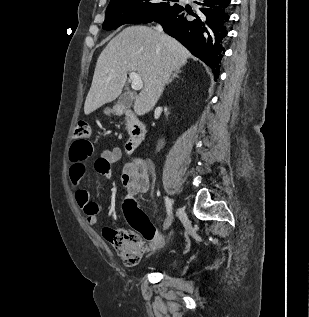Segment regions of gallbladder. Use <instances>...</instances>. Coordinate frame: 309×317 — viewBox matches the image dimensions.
Wrapping results in <instances>:
<instances>
[{"mask_svg":"<svg viewBox=\"0 0 309 317\" xmlns=\"http://www.w3.org/2000/svg\"><path fill=\"white\" fill-rule=\"evenodd\" d=\"M132 101H133V98L130 96V94L124 93L119 97L117 103L124 109H127L131 106Z\"/></svg>","mask_w":309,"mask_h":317,"instance_id":"obj_1","label":"gallbladder"}]
</instances>
